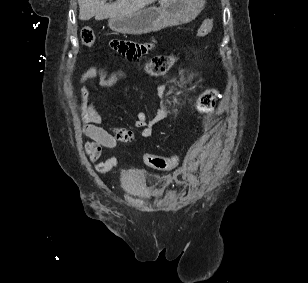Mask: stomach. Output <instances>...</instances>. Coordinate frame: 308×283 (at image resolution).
Listing matches in <instances>:
<instances>
[{
    "mask_svg": "<svg viewBox=\"0 0 308 283\" xmlns=\"http://www.w3.org/2000/svg\"><path fill=\"white\" fill-rule=\"evenodd\" d=\"M205 0H161L160 7L143 8L126 16L110 17L109 27L118 33L141 35L182 25L195 19Z\"/></svg>",
    "mask_w": 308,
    "mask_h": 283,
    "instance_id": "1",
    "label": "stomach"
}]
</instances>
